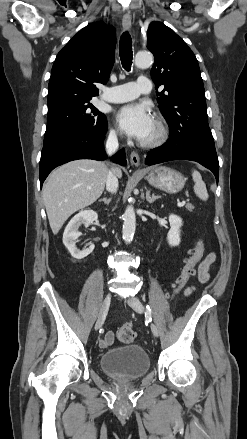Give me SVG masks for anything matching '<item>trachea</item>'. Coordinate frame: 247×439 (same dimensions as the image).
Segmentation results:
<instances>
[{
  "label": "trachea",
  "instance_id": "1",
  "mask_svg": "<svg viewBox=\"0 0 247 439\" xmlns=\"http://www.w3.org/2000/svg\"><path fill=\"white\" fill-rule=\"evenodd\" d=\"M119 53L122 66L126 71L131 70L132 65V39L128 32H124L120 38Z\"/></svg>",
  "mask_w": 247,
  "mask_h": 439
}]
</instances>
